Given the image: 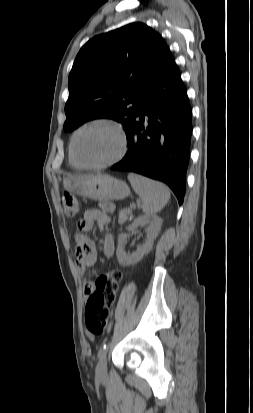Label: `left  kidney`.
Segmentation results:
<instances>
[{"label":"left kidney","instance_id":"5707ae66","mask_svg":"<svg viewBox=\"0 0 253 413\" xmlns=\"http://www.w3.org/2000/svg\"><path fill=\"white\" fill-rule=\"evenodd\" d=\"M163 220L158 216H140L134 220V222L128 226V231L134 230L139 226L149 225L147 229V238L143 245L139 246L132 254L124 251V244L127 238L126 233H122L118 236V246L116 250V256L118 262L121 265H133L140 261L143 256L150 252L153 246L154 240L157 238L158 233L161 230Z\"/></svg>","mask_w":253,"mask_h":413}]
</instances>
